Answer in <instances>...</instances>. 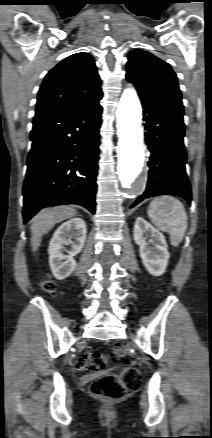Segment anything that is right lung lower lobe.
Returning a JSON list of instances; mask_svg holds the SVG:
<instances>
[{
  "mask_svg": "<svg viewBox=\"0 0 212 438\" xmlns=\"http://www.w3.org/2000/svg\"><path fill=\"white\" fill-rule=\"evenodd\" d=\"M101 114L98 101L34 118L23 187L25 223L48 206L77 204L95 213Z\"/></svg>",
  "mask_w": 212,
  "mask_h": 438,
  "instance_id": "98d812e1",
  "label": "right lung lower lobe"
}]
</instances>
